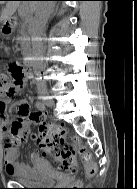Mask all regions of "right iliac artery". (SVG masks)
<instances>
[{
  "label": "right iliac artery",
  "mask_w": 137,
  "mask_h": 189,
  "mask_svg": "<svg viewBox=\"0 0 137 189\" xmlns=\"http://www.w3.org/2000/svg\"><path fill=\"white\" fill-rule=\"evenodd\" d=\"M40 98H41V97H40ZM36 106H37V108H38L39 110H45V105H44V103L41 102V101H38V102L36 103Z\"/></svg>",
  "instance_id": "obj_1"
}]
</instances>
